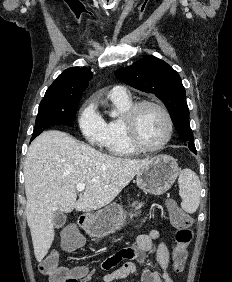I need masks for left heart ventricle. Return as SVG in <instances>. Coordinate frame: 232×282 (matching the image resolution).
Masks as SVG:
<instances>
[{
    "instance_id": "1",
    "label": "left heart ventricle",
    "mask_w": 232,
    "mask_h": 282,
    "mask_svg": "<svg viewBox=\"0 0 232 282\" xmlns=\"http://www.w3.org/2000/svg\"><path fill=\"white\" fill-rule=\"evenodd\" d=\"M137 132L140 140L148 146H154L167 135V123L163 114L153 107L143 108L137 118Z\"/></svg>"
}]
</instances>
